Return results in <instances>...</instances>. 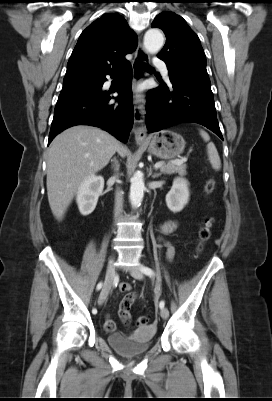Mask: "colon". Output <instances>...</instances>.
I'll return each instance as SVG.
<instances>
[{
    "label": "colon",
    "instance_id": "1",
    "mask_svg": "<svg viewBox=\"0 0 272 401\" xmlns=\"http://www.w3.org/2000/svg\"><path fill=\"white\" fill-rule=\"evenodd\" d=\"M214 189V182L213 180H208L206 185H205V192L207 194H210ZM212 225H213V221L211 218H208L204 221L203 226L200 229L199 232V246L198 249L201 250L203 247V244L208 241V239L211 236V230H212ZM150 324V318L147 316H140L138 317L135 322L134 325L136 327H142V326H147Z\"/></svg>",
    "mask_w": 272,
    "mask_h": 401
}]
</instances>
